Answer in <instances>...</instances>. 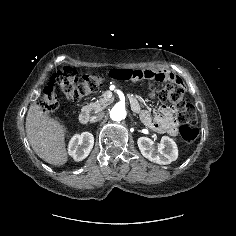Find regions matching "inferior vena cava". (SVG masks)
<instances>
[{
  "instance_id": "obj_1",
  "label": "inferior vena cava",
  "mask_w": 236,
  "mask_h": 236,
  "mask_svg": "<svg viewBox=\"0 0 236 236\" xmlns=\"http://www.w3.org/2000/svg\"><path fill=\"white\" fill-rule=\"evenodd\" d=\"M103 116H104V113H98L97 115L91 117L90 122L92 123L97 122L101 120Z\"/></svg>"
}]
</instances>
